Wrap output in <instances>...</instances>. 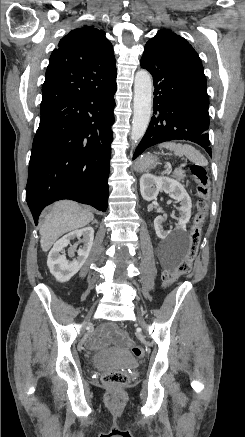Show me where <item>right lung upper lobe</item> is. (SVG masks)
Listing matches in <instances>:
<instances>
[{"instance_id":"right-lung-upper-lobe-1","label":"right lung upper lobe","mask_w":245,"mask_h":437,"mask_svg":"<svg viewBox=\"0 0 245 437\" xmlns=\"http://www.w3.org/2000/svg\"><path fill=\"white\" fill-rule=\"evenodd\" d=\"M115 62L112 44L103 30L87 25L72 30L50 56L41 111L105 88L116 79Z\"/></svg>"}]
</instances>
